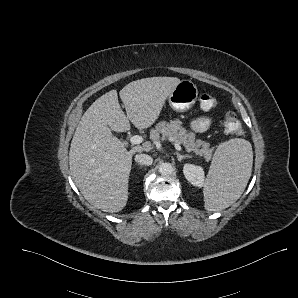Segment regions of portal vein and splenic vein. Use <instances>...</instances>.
Listing matches in <instances>:
<instances>
[{
  "label": "portal vein and splenic vein",
  "instance_id": "portal-vein-and-splenic-vein-1",
  "mask_svg": "<svg viewBox=\"0 0 298 298\" xmlns=\"http://www.w3.org/2000/svg\"><path fill=\"white\" fill-rule=\"evenodd\" d=\"M130 142L133 145L141 144L143 142V137L139 135H134L130 138ZM174 147L177 151H181L182 147L179 143L175 142Z\"/></svg>",
  "mask_w": 298,
  "mask_h": 298
}]
</instances>
